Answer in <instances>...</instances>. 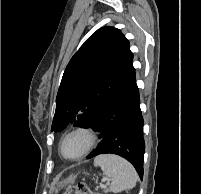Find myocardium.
Segmentation results:
<instances>
[{
    "label": "myocardium",
    "instance_id": "f54148a6",
    "mask_svg": "<svg viewBox=\"0 0 201 194\" xmlns=\"http://www.w3.org/2000/svg\"><path fill=\"white\" fill-rule=\"evenodd\" d=\"M75 134L85 135L87 137V146L80 154H78L76 156H71V157L66 156L63 153V144L67 138H69L70 136H73ZM97 143H98V133L95 128L88 126V125H78V126L71 128L70 130H68L67 132H65L62 135L60 142H59L58 150H59L60 155L65 160L77 161V160L83 159L84 157L89 155L91 153V151L95 148Z\"/></svg>",
    "mask_w": 201,
    "mask_h": 194
}]
</instances>
